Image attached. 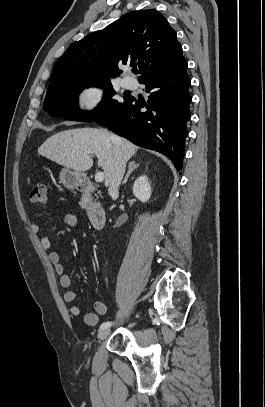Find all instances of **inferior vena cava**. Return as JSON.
Here are the masks:
<instances>
[{
	"label": "inferior vena cava",
	"mask_w": 265,
	"mask_h": 407,
	"mask_svg": "<svg viewBox=\"0 0 265 407\" xmlns=\"http://www.w3.org/2000/svg\"><path fill=\"white\" fill-rule=\"evenodd\" d=\"M111 141L115 145V154H114V166L109 181L108 193L109 195L112 196L118 194V189L125 172L126 160L119 146L117 145L118 137L115 135H111Z\"/></svg>",
	"instance_id": "602c4592"
}]
</instances>
